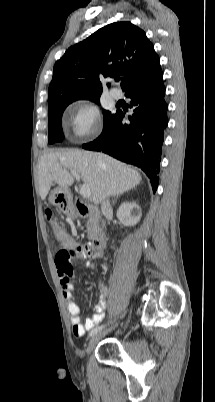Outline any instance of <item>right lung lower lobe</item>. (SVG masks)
I'll return each mask as SVG.
<instances>
[{"label": "right lung lower lobe", "mask_w": 215, "mask_h": 402, "mask_svg": "<svg viewBox=\"0 0 215 402\" xmlns=\"http://www.w3.org/2000/svg\"><path fill=\"white\" fill-rule=\"evenodd\" d=\"M164 91L163 78L133 89L126 94L134 112L128 117L129 122L122 111H117L104 125L102 134L83 145L84 149L102 151L140 167L150 178L153 192L158 186L164 130L168 125Z\"/></svg>", "instance_id": "98d812e1"}]
</instances>
